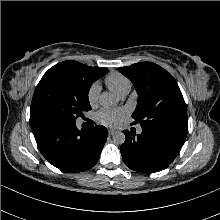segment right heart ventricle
Wrapping results in <instances>:
<instances>
[{
  "label": "right heart ventricle",
  "mask_w": 220,
  "mask_h": 220,
  "mask_svg": "<svg viewBox=\"0 0 220 220\" xmlns=\"http://www.w3.org/2000/svg\"><path fill=\"white\" fill-rule=\"evenodd\" d=\"M105 83L110 90L117 95L129 92L131 88L130 80L120 73H111L105 78Z\"/></svg>",
  "instance_id": "e07e8e85"
}]
</instances>
